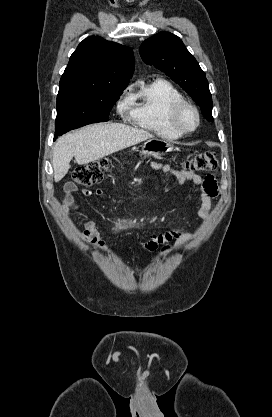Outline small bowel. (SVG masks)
Returning a JSON list of instances; mask_svg holds the SVG:
<instances>
[{
	"mask_svg": "<svg viewBox=\"0 0 272 417\" xmlns=\"http://www.w3.org/2000/svg\"><path fill=\"white\" fill-rule=\"evenodd\" d=\"M149 167L153 170L162 171L170 176H172L177 183L183 184L186 181H191L195 186L199 188L200 191V201L201 206L198 211V216L204 218L208 216L211 210V201L215 198L218 194V187L215 178L212 175H208L205 178H202L200 175L185 171L179 170L172 167L169 164H163L156 161H150L148 163ZM77 191V186L73 182H67L64 185V197L62 202V212L65 217L73 224V220L71 218V211L77 210V205L75 203V193ZM82 194L84 196H91L93 194L92 190L88 188L82 189ZM95 194L97 196L103 195L102 189H96ZM82 238L92 245L96 250L101 252H108V247L101 239L95 222L92 219H88L84 223V229L81 233ZM193 239V236L186 232L184 227H178L166 232L156 234L151 236L145 243L144 247L148 251L156 250L160 245L170 242L172 240L175 241V246L178 251L182 250L188 243H190Z\"/></svg>",
	"mask_w": 272,
	"mask_h": 417,
	"instance_id": "1",
	"label": "small bowel"
}]
</instances>
